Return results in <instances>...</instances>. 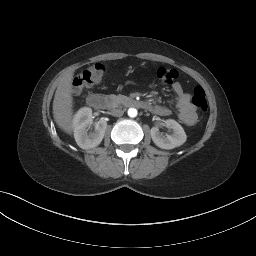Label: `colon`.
I'll use <instances>...</instances> for the list:
<instances>
[{
  "mask_svg": "<svg viewBox=\"0 0 256 256\" xmlns=\"http://www.w3.org/2000/svg\"><path fill=\"white\" fill-rule=\"evenodd\" d=\"M105 72V66L102 63H94L80 70L73 79V88L76 93L91 86L101 80ZM156 76L164 84L174 82L178 73L175 69L160 67L157 69ZM192 103L201 112L207 110V100L204 89L201 86H195L192 93Z\"/></svg>",
  "mask_w": 256,
  "mask_h": 256,
  "instance_id": "colon-1",
  "label": "colon"
}]
</instances>
